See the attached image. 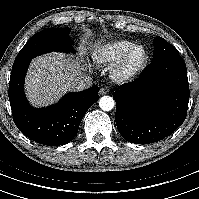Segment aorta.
<instances>
[{"mask_svg":"<svg viewBox=\"0 0 199 199\" xmlns=\"http://www.w3.org/2000/svg\"><path fill=\"white\" fill-rule=\"evenodd\" d=\"M115 101L110 96H103L99 100V106L103 111H110L114 108Z\"/></svg>","mask_w":199,"mask_h":199,"instance_id":"aorta-1","label":"aorta"}]
</instances>
